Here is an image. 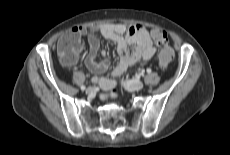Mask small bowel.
<instances>
[{
    "label": "small bowel",
    "mask_w": 230,
    "mask_h": 155,
    "mask_svg": "<svg viewBox=\"0 0 230 155\" xmlns=\"http://www.w3.org/2000/svg\"><path fill=\"white\" fill-rule=\"evenodd\" d=\"M156 30V29H154ZM152 30L149 32L143 25H132L128 29L122 24L102 25L91 28L77 26L60 38V42L70 35H75L80 39V44L76 49L79 52L82 49L81 37L86 35L89 56L86 59V66L93 73H101L108 69L109 61L106 59V54L103 53L105 59L97 62L95 54L99 48V39L97 33L117 45V51L120 56V61L114 68L112 78H94V82L98 83L105 90H112L116 85V78L120 77L131 65L136 63H144L149 61L156 53L157 49L153 46ZM155 41V40H154ZM166 45H169L168 39ZM129 46L133 49L129 51Z\"/></svg>",
    "instance_id": "1"
}]
</instances>
